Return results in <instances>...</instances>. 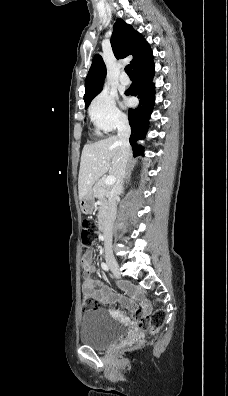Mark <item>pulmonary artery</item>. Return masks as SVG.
Returning <instances> with one entry per match:
<instances>
[{"mask_svg": "<svg viewBox=\"0 0 228 396\" xmlns=\"http://www.w3.org/2000/svg\"><path fill=\"white\" fill-rule=\"evenodd\" d=\"M119 81L122 85H128L130 80L126 74H121L119 77Z\"/></svg>", "mask_w": 228, "mask_h": 396, "instance_id": "1", "label": "pulmonary artery"}]
</instances>
